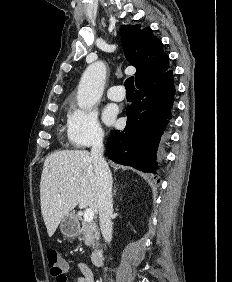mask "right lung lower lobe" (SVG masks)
Instances as JSON below:
<instances>
[{
  "label": "right lung lower lobe",
  "mask_w": 232,
  "mask_h": 282,
  "mask_svg": "<svg viewBox=\"0 0 232 282\" xmlns=\"http://www.w3.org/2000/svg\"><path fill=\"white\" fill-rule=\"evenodd\" d=\"M136 87L133 102L126 109V127L110 133L106 154L116 163L156 173L157 152L174 103L172 70L142 80Z\"/></svg>",
  "instance_id": "98d812e1"
}]
</instances>
